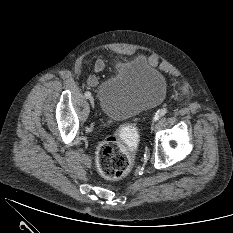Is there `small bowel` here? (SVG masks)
Returning a JSON list of instances; mask_svg holds the SVG:
<instances>
[{
  "mask_svg": "<svg viewBox=\"0 0 233 233\" xmlns=\"http://www.w3.org/2000/svg\"><path fill=\"white\" fill-rule=\"evenodd\" d=\"M104 62L102 60H97L94 63V70L95 72H102L104 70ZM87 84L89 86H95L97 83V77L95 75H90L87 80H86Z\"/></svg>",
  "mask_w": 233,
  "mask_h": 233,
  "instance_id": "obj_1",
  "label": "small bowel"
}]
</instances>
